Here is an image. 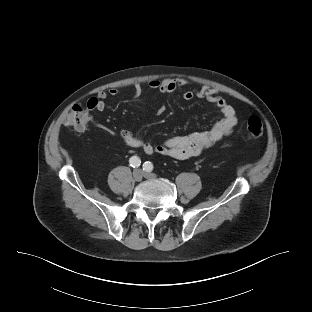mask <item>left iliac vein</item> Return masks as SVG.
I'll list each match as a JSON object with an SVG mask.
<instances>
[{
    "mask_svg": "<svg viewBox=\"0 0 312 312\" xmlns=\"http://www.w3.org/2000/svg\"><path fill=\"white\" fill-rule=\"evenodd\" d=\"M143 175H144L145 178H148V179H154V178L157 177L156 174H154V173H149V172H144Z\"/></svg>",
    "mask_w": 312,
    "mask_h": 312,
    "instance_id": "4c4485c4",
    "label": "left iliac vein"
}]
</instances>
